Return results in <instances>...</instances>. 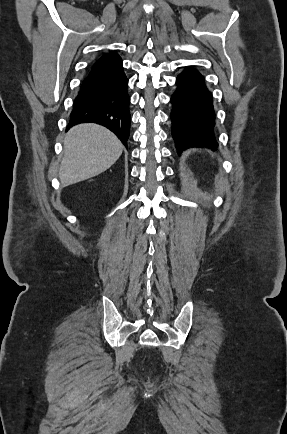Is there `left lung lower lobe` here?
Returning a JSON list of instances; mask_svg holds the SVG:
<instances>
[{
    "mask_svg": "<svg viewBox=\"0 0 287 434\" xmlns=\"http://www.w3.org/2000/svg\"><path fill=\"white\" fill-rule=\"evenodd\" d=\"M177 89L171 97L172 138L175 148H216L215 112L212 94L203 76L193 68H185L176 80Z\"/></svg>",
    "mask_w": 287,
    "mask_h": 434,
    "instance_id": "1",
    "label": "left lung lower lobe"
}]
</instances>
